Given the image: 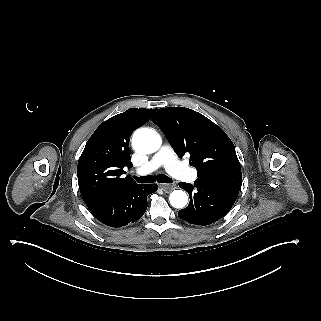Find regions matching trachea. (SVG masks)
Instances as JSON below:
<instances>
[{
  "label": "trachea",
  "mask_w": 321,
  "mask_h": 321,
  "mask_svg": "<svg viewBox=\"0 0 321 321\" xmlns=\"http://www.w3.org/2000/svg\"><path fill=\"white\" fill-rule=\"evenodd\" d=\"M133 178L138 183H153L155 181L159 183H171V179L168 176L163 174L140 176V177L133 176Z\"/></svg>",
  "instance_id": "3493384b"
}]
</instances>
